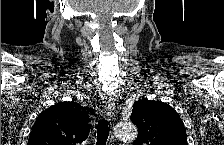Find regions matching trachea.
<instances>
[{
    "instance_id": "3493384b",
    "label": "trachea",
    "mask_w": 224,
    "mask_h": 145,
    "mask_svg": "<svg viewBox=\"0 0 224 145\" xmlns=\"http://www.w3.org/2000/svg\"><path fill=\"white\" fill-rule=\"evenodd\" d=\"M109 136L108 121L101 119L97 125V142L96 145H105Z\"/></svg>"
}]
</instances>
